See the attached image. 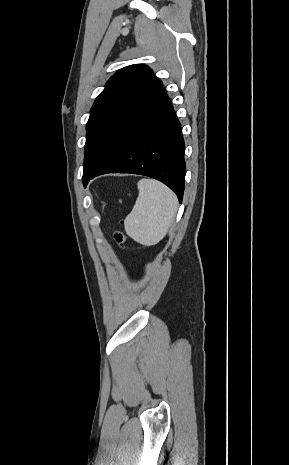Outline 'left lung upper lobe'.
I'll list each match as a JSON object with an SVG mask.
<instances>
[{
    "instance_id": "obj_1",
    "label": "left lung upper lobe",
    "mask_w": 289,
    "mask_h": 465,
    "mask_svg": "<svg viewBox=\"0 0 289 465\" xmlns=\"http://www.w3.org/2000/svg\"><path fill=\"white\" fill-rule=\"evenodd\" d=\"M162 86L143 64L124 67L109 79L96 98L86 125L83 183Z\"/></svg>"
}]
</instances>
